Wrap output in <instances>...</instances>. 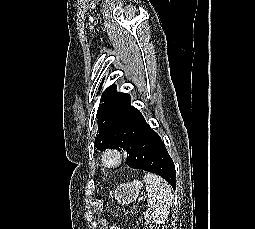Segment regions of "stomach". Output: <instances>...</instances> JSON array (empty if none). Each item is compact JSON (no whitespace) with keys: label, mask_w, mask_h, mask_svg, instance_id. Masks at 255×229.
I'll return each instance as SVG.
<instances>
[{"label":"stomach","mask_w":255,"mask_h":229,"mask_svg":"<svg viewBox=\"0 0 255 229\" xmlns=\"http://www.w3.org/2000/svg\"><path fill=\"white\" fill-rule=\"evenodd\" d=\"M143 187V183L139 180L120 184L114 191V197L119 204L128 205L134 202Z\"/></svg>","instance_id":"obj_1"}]
</instances>
